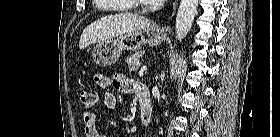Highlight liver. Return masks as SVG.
I'll return each instance as SVG.
<instances>
[{"mask_svg":"<svg viewBox=\"0 0 280 137\" xmlns=\"http://www.w3.org/2000/svg\"><path fill=\"white\" fill-rule=\"evenodd\" d=\"M152 24L150 19L132 13H119L102 17L82 32L79 48L85 49L93 43H100L125 33L143 29Z\"/></svg>","mask_w":280,"mask_h":137,"instance_id":"1","label":"liver"}]
</instances>
